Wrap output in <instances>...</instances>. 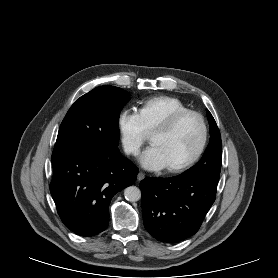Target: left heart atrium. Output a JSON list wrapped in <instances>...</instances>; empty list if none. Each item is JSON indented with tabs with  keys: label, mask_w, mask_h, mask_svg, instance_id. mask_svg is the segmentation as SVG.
Instances as JSON below:
<instances>
[{
	"label": "left heart atrium",
	"mask_w": 278,
	"mask_h": 278,
	"mask_svg": "<svg viewBox=\"0 0 278 278\" xmlns=\"http://www.w3.org/2000/svg\"><path fill=\"white\" fill-rule=\"evenodd\" d=\"M140 162L142 166L148 170H161L167 167L160 149L154 144L142 152L140 155Z\"/></svg>",
	"instance_id": "39dd6f15"
}]
</instances>
